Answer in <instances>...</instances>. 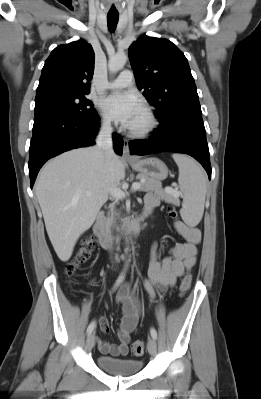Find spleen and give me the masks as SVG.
Here are the masks:
<instances>
[{
  "instance_id": "spleen-1",
  "label": "spleen",
  "mask_w": 261,
  "mask_h": 399,
  "mask_svg": "<svg viewBox=\"0 0 261 399\" xmlns=\"http://www.w3.org/2000/svg\"><path fill=\"white\" fill-rule=\"evenodd\" d=\"M172 157L179 168L178 183L183 194L180 214L183 221L193 227L203 217L207 178L192 158L181 154H173Z\"/></svg>"
}]
</instances>
